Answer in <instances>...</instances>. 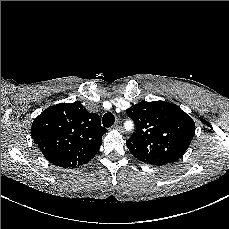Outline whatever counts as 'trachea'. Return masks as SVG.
I'll return each instance as SVG.
<instances>
[{"label":"trachea","mask_w":229,"mask_h":229,"mask_svg":"<svg viewBox=\"0 0 229 229\" xmlns=\"http://www.w3.org/2000/svg\"><path fill=\"white\" fill-rule=\"evenodd\" d=\"M115 122V117L113 113L107 112L102 118V124L104 127H111Z\"/></svg>","instance_id":"1"}]
</instances>
